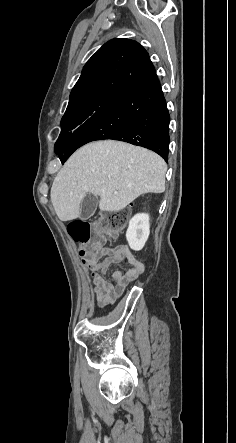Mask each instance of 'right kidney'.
I'll list each match as a JSON object with an SVG mask.
<instances>
[{"instance_id":"1","label":"right kidney","mask_w":236,"mask_h":443,"mask_svg":"<svg viewBox=\"0 0 236 443\" xmlns=\"http://www.w3.org/2000/svg\"><path fill=\"white\" fill-rule=\"evenodd\" d=\"M150 234L149 215L136 214L130 221L126 232V239L131 249L141 250Z\"/></svg>"}]
</instances>
